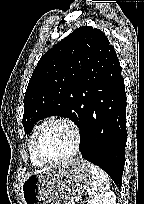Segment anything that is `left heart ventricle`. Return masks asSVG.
<instances>
[{"label": "left heart ventricle", "mask_w": 144, "mask_h": 204, "mask_svg": "<svg viewBox=\"0 0 144 204\" xmlns=\"http://www.w3.org/2000/svg\"><path fill=\"white\" fill-rule=\"evenodd\" d=\"M73 143L72 132L67 126L53 124L42 134L39 150L47 159H59L70 153Z\"/></svg>", "instance_id": "left-heart-ventricle-1"}]
</instances>
